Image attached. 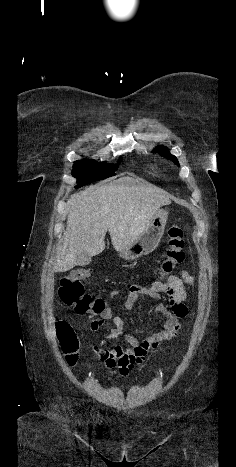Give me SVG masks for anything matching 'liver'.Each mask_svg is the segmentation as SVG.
<instances>
[{
	"label": "liver",
	"mask_w": 236,
	"mask_h": 467,
	"mask_svg": "<svg viewBox=\"0 0 236 467\" xmlns=\"http://www.w3.org/2000/svg\"><path fill=\"white\" fill-rule=\"evenodd\" d=\"M171 204L164 190L131 177H121L106 185L89 188L68 200L67 227L57 249L55 272L80 265L82 252L92 257L105 249L109 231L116 251L129 246L145 229L153 214Z\"/></svg>",
	"instance_id": "6515ba94"
}]
</instances>
